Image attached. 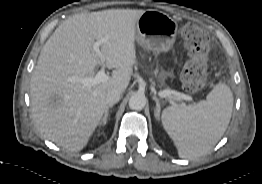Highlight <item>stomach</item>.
<instances>
[{"instance_id":"1","label":"stomach","mask_w":262,"mask_h":184,"mask_svg":"<svg viewBox=\"0 0 262 184\" xmlns=\"http://www.w3.org/2000/svg\"><path fill=\"white\" fill-rule=\"evenodd\" d=\"M177 30V22L168 14L146 10L136 22V42L148 50L167 52L174 45ZM161 76L165 79L171 72L162 71Z\"/></svg>"}]
</instances>
